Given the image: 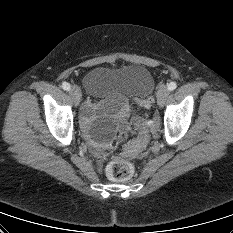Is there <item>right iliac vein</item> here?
Instances as JSON below:
<instances>
[{
  "instance_id": "63e3f726",
  "label": "right iliac vein",
  "mask_w": 233,
  "mask_h": 233,
  "mask_svg": "<svg viewBox=\"0 0 233 233\" xmlns=\"http://www.w3.org/2000/svg\"><path fill=\"white\" fill-rule=\"evenodd\" d=\"M70 95L74 101V103L77 105L79 104L81 100V91L78 86L74 85L70 88Z\"/></svg>"
}]
</instances>
